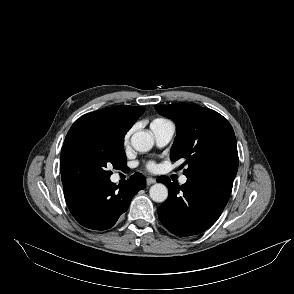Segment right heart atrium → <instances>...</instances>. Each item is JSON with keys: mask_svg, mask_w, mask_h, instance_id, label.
I'll use <instances>...</instances> for the list:
<instances>
[{"mask_svg": "<svg viewBox=\"0 0 294 294\" xmlns=\"http://www.w3.org/2000/svg\"><path fill=\"white\" fill-rule=\"evenodd\" d=\"M128 140H129V134H127L126 137H125V139H124L125 144L128 142Z\"/></svg>", "mask_w": 294, "mask_h": 294, "instance_id": "obj_1", "label": "right heart atrium"}]
</instances>
